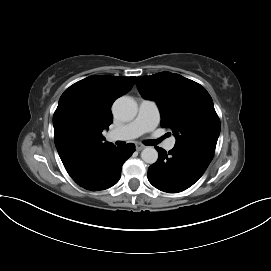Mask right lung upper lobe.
<instances>
[{
  "instance_id": "right-lung-upper-lobe-1",
  "label": "right lung upper lobe",
  "mask_w": 271,
  "mask_h": 271,
  "mask_svg": "<svg viewBox=\"0 0 271 271\" xmlns=\"http://www.w3.org/2000/svg\"><path fill=\"white\" fill-rule=\"evenodd\" d=\"M135 77L93 75L70 86L53 116L54 141L73 177L114 145L102 131L113 122L111 106L134 85Z\"/></svg>"
}]
</instances>
